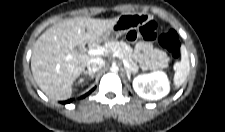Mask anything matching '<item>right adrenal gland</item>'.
I'll use <instances>...</instances> for the list:
<instances>
[{"label":"right adrenal gland","mask_w":225,"mask_h":132,"mask_svg":"<svg viewBox=\"0 0 225 132\" xmlns=\"http://www.w3.org/2000/svg\"><path fill=\"white\" fill-rule=\"evenodd\" d=\"M84 74H88L91 78H93L95 72L84 71Z\"/></svg>","instance_id":"obj_1"}]
</instances>
